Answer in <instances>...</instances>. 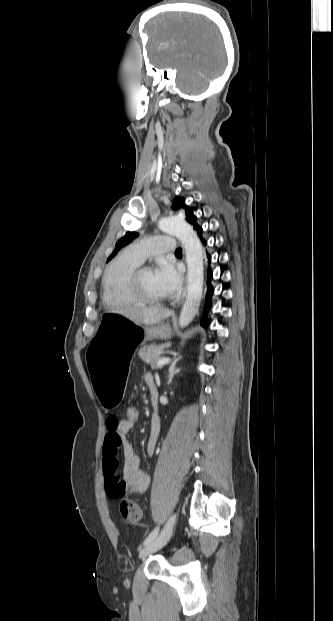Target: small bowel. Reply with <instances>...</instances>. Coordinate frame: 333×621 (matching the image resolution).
Wrapping results in <instances>:
<instances>
[{"instance_id": "small-bowel-1", "label": "small bowel", "mask_w": 333, "mask_h": 621, "mask_svg": "<svg viewBox=\"0 0 333 621\" xmlns=\"http://www.w3.org/2000/svg\"><path fill=\"white\" fill-rule=\"evenodd\" d=\"M146 384H155L151 373L145 375ZM124 418L110 416L107 420V433L103 443V472L105 489L111 498H121L126 494H143L150 485V476L140 469L139 460L127 435L133 428ZM160 432L157 415L152 416L146 450L152 455ZM123 462L120 464L119 456Z\"/></svg>"}]
</instances>
